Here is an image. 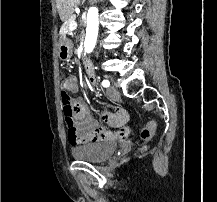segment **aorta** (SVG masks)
Returning <instances> with one entry per match:
<instances>
[{"label": "aorta", "instance_id": "1", "mask_svg": "<svg viewBox=\"0 0 217 202\" xmlns=\"http://www.w3.org/2000/svg\"><path fill=\"white\" fill-rule=\"evenodd\" d=\"M98 10L97 8H89L87 14V28L84 42V50L86 54H91L95 48L97 36H98Z\"/></svg>", "mask_w": 217, "mask_h": 202}]
</instances>
